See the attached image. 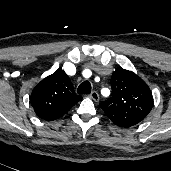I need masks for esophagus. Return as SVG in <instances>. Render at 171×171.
<instances>
[{"mask_svg": "<svg viewBox=\"0 0 171 171\" xmlns=\"http://www.w3.org/2000/svg\"><path fill=\"white\" fill-rule=\"evenodd\" d=\"M95 102L99 101V94L96 91L91 92L89 95Z\"/></svg>", "mask_w": 171, "mask_h": 171, "instance_id": "obj_1", "label": "esophagus"}]
</instances>
